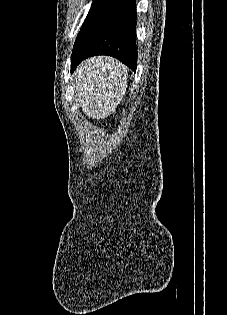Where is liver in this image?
Instances as JSON below:
<instances>
[{
    "label": "liver",
    "mask_w": 227,
    "mask_h": 315,
    "mask_svg": "<svg viewBox=\"0 0 227 315\" xmlns=\"http://www.w3.org/2000/svg\"><path fill=\"white\" fill-rule=\"evenodd\" d=\"M95 59H102V58L99 57V58H95Z\"/></svg>",
    "instance_id": "liver-1"
}]
</instances>
